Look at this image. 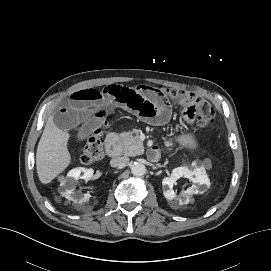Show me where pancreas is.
<instances>
[{"label":"pancreas","instance_id":"pancreas-1","mask_svg":"<svg viewBox=\"0 0 271 271\" xmlns=\"http://www.w3.org/2000/svg\"><path fill=\"white\" fill-rule=\"evenodd\" d=\"M136 132H124L120 134V139L123 145L122 154L125 156L141 155L144 152L143 143L139 137L135 135Z\"/></svg>","mask_w":271,"mask_h":271}]
</instances>
